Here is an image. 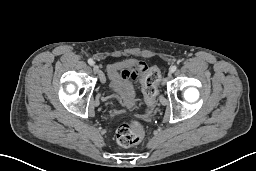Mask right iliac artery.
<instances>
[{"mask_svg":"<svg viewBox=\"0 0 256 171\" xmlns=\"http://www.w3.org/2000/svg\"><path fill=\"white\" fill-rule=\"evenodd\" d=\"M88 63L90 64V65H93L94 64V61H93V59H88Z\"/></svg>","mask_w":256,"mask_h":171,"instance_id":"obj_1","label":"right iliac artery"}]
</instances>
